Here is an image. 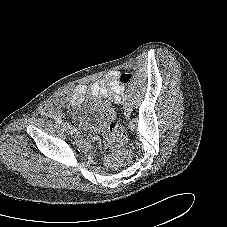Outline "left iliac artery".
Segmentation results:
<instances>
[{"mask_svg":"<svg viewBox=\"0 0 227 227\" xmlns=\"http://www.w3.org/2000/svg\"><path fill=\"white\" fill-rule=\"evenodd\" d=\"M122 99H123V101H125V102H126V100H127V96H126V95H124V94H122Z\"/></svg>","mask_w":227,"mask_h":227,"instance_id":"obj_1","label":"left iliac artery"}]
</instances>
